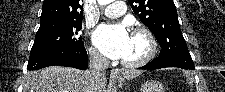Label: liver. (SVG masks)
Segmentation results:
<instances>
[{
    "label": "liver",
    "instance_id": "liver-1",
    "mask_svg": "<svg viewBox=\"0 0 225 92\" xmlns=\"http://www.w3.org/2000/svg\"><path fill=\"white\" fill-rule=\"evenodd\" d=\"M142 71L125 70L126 79L138 77ZM107 78L103 73L97 79L89 71L52 66L26 74L23 92H106Z\"/></svg>",
    "mask_w": 225,
    "mask_h": 92
}]
</instances>
